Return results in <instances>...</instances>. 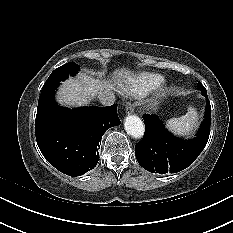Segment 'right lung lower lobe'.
Returning <instances> with one entry per match:
<instances>
[{"label":"right lung lower lobe","instance_id":"right-lung-lower-lobe-1","mask_svg":"<svg viewBox=\"0 0 233 233\" xmlns=\"http://www.w3.org/2000/svg\"><path fill=\"white\" fill-rule=\"evenodd\" d=\"M120 123L117 104L69 110L54 102L36 115V140L43 156L57 170L81 176L97 165L102 135Z\"/></svg>","mask_w":233,"mask_h":233}]
</instances>
